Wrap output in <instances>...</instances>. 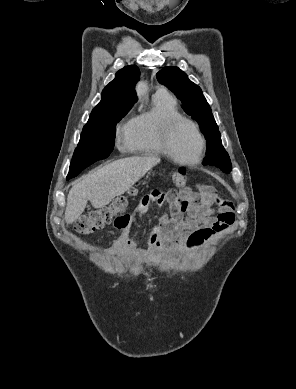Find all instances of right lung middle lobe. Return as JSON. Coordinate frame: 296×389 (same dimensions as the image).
<instances>
[{"mask_svg": "<svg viewBox=\"0 0 296 389\" xmlns=\"http://www.w3.org/2000/svg\"><path fill=\"white\" fill-rule=\"evenodd\" d=\"M130 108H118L105 115L89 118L74 151L69 171L88 167L110 155L114 147L116 124L128 113Z\"/></svg>", "mask_w": 296, "mask_h": 389, "instance_id": "dd1d6c3e", "label": "right lung middle lobe"}]
</instances>
